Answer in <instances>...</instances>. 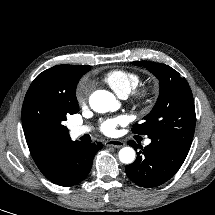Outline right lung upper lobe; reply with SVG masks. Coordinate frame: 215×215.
I'll use <instances>...</instances> for the list:
<instances>
[{"label": "right lung upper lobe", "instance_id": "obj_1", "mask_svg": "<svg viewBox=\"0 0 215 215\" xmlns=\"http://www.w3.org/2000/svg\"><path fill=\"white\" fill-rule=\"evenodd\" d=\"M71 68L74 72L81 73L86 71L87 65H71ZM22 125L28 148L36 165L46 178L53 177L57 172L62 151L72 142L68 132L45 134L32 126L25 117H22Z\"/></svg>", "mask_w": 215, "mask_h": 215}]
</instances>
